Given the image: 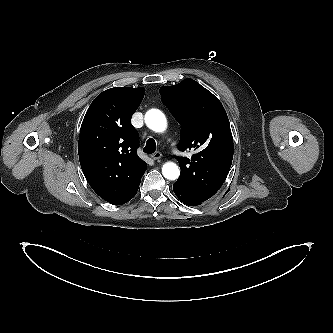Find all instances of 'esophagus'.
Instances as JSON below:
<instances>
[{"label": "esophagus", "instance_id": "1", "mask_svg": "<svg viewBox=\"0 0 333 333\" xmlns=\"http://www.w3.org/2000/svg\"><path fill=\"white\" fill-rule=\"evenodd\" d=\"M161 157H162V154L159 151H157L151 155V158L153 160H159Z\"/></svg>", "mask_w": 333, "mask_h": 333}]
</instances>
